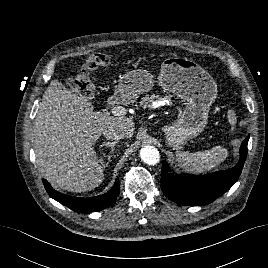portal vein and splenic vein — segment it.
<instances>
[{
  "label": "portal vein and splenic vein",
  "instance_id": "obj_1",
  "mask_svg": "<svg viewBox=\"0 0 268 268\" xmlns=\"http://www.w3.org/2000/svg\"><path fill=\"white\" fill-rule=\"evenodd\" d=\"M111 112L114 116H124L126 115L127 110L123 106H115L112 108Z\"/></svg>",
  "mask_w": 268,
  "mask_h": 268
}]
</instances>
